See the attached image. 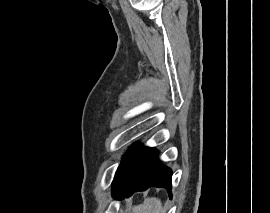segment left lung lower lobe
Returning <instances> with one entry per match:
<instances>
[{
    "label": "left lung lower lobe",
    "mask_w": 270,
    "mask_h": 213,
    "mask_svg": "<svg viewBox=\"0 0 270 213\" xmlns=\"http://www.w3.org/2000/svg\"><path fill=\"white\" fill-rule=\"evenodd\" d=\"M158 151L139 146L130 147L121 161L113 183L114 198H125L136 191H145L149 187H164L171 197L170 168L163 166L157 159Z\"/></svg>",
    "instance_id": "obj_1"
}]
</instances>
